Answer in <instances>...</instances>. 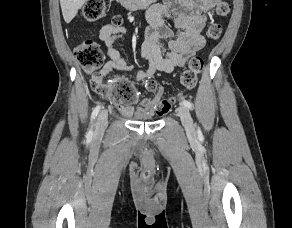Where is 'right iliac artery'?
Listing matches in <instances>:
<instances>
[{"instance_id":"82829eb1","label":"right iliac artery","mask_w":292,"mask_h":228,"mask_svg":"<svg viewBox=\"0 0 292 228\" xmlns=\"http://www.w3.org/2000/svg\"><path fill=\"white\" fill-rule=\"evenodd\" d=\"M100 105L96 106L92 112V115H91V128L89 130V135H92L93 133V122L95 120V118L97 117L99 111H100Z\"/></svg>"}]
</instances>
